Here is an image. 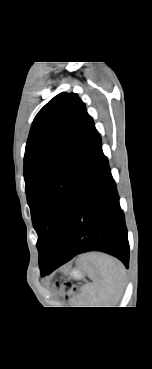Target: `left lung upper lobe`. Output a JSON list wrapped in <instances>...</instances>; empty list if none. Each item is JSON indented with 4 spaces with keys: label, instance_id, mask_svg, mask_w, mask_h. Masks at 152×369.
I'll list each match as a JSON object with an SVG mask.
<instances>
[{
    "label": "left lung upper lobe",
    "instance_id": "left-lung-upper-lobe-1",
    "mask_svg": "<svg viewBox=\"0 0 152 369\" xmlns=\"http://www.w3.org/2000/svg\"><path fill=\"white\" fill-rule=\"evenodd\" d=\"M97 130L75 93H60L36 115L24 156V179L39 263L57 255Z\"/></svg>",
    "mask_w": 152,
    "mask_h": 369
}]
</instances>
